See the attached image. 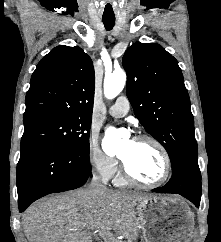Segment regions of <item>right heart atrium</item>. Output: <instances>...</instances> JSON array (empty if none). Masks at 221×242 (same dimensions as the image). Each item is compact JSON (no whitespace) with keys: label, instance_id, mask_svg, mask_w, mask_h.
I'll list each match as a JSON object with an SVG mask.
<instances>
[{"label":"right heart atrium","instance_id":"d8ad5b80","mask_svg":"<svg viewBox=\"0 0 221 242\" xmlns=\"http://www.w3.org/2000/svg\"><path fill=\"white\" fill-rule=\"evenodd\" d=\"M87 159L91 169L103 180L111 179L117 171V157L104 152L95 133L88 138Z\"/></svg>","mask_w":221,"mask_h":242}]
</instances>
